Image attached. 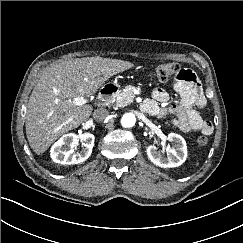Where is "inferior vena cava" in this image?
Here are the masks:
<instances>
[{
	"label": "inferior vena cava",
	"mask_w": 243,
	"mask_h": 243,
	"mask_svg": "<svg viewBox=\"0 0 243 243\" xmlns=\"http://www.w3.org/2000/svg\"><path fill=\"white\" fill-rule=\"evenodd\" d=\"M108 115H109L108 110L102 107L96 109L93 113L94 119L99 122L104 121L108 117Z\"/></svg>",
	"instance_id": "1"
}]
</instances>
